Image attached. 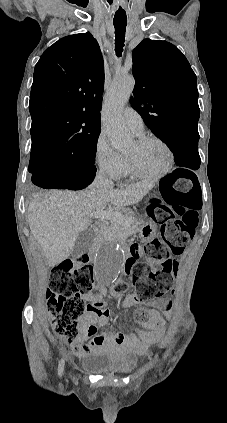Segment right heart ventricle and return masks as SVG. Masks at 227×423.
Wrapping results in <instances>:
<instances>
[{"label": "right heart ventricle", "mask_w": 227, "mask_h": 423, "mask_svg": "<svg viewBox=\"0 0 227 423\" xmlns=\"http://www.w3.org/2000/svg\"><path fill=\"white\" fill-rule=\"evenodd\" d=\"M127 171H129V165H128V163H127Z\"/></svg>", "instance_id": "1"}]
</instances>
